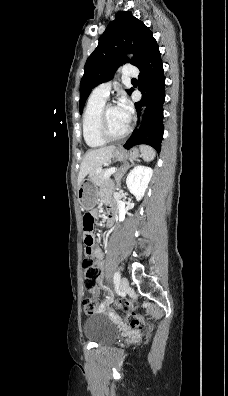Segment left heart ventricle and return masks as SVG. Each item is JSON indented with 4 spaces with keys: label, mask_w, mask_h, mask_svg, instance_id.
<instances>
[{
    "label": "left heart ventricle",
    "mask_w": 228,
    "mask_h": 396,
    "mask_svg": "<svg viewBox=\"0 0 228 396\" xmlns=\"http://www.w3.org/2000/svg\"><path fill=\"white\" fill-rule=\"evenodd\" d=\"M127 123L122 119L117 107H110L107 111V127L110 133L118 135L122 133Z\"/></svg>",
    "instance_id": "left-heart-ventricle-1"
}]
</instances>
